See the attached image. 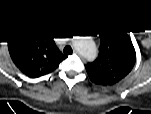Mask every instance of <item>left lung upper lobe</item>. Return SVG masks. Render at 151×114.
Instances as JSON below:
<instances>
[{"instance_id":"obj_1","label":"left lung upper lobe","mask_w":151,"mask_h":114,"mask_svg":"<svg viewBox=\"0 0 151 114\" xmlns=\"http://www.w3.org/2000/svg\"><path fill=\"white\" fill-rule=\"evenodd\" d=\"M98 58L88 63L86 70L90 79L103 85H112L124 78L133 68V48L123 39L103 33Z\"/></svg>"}]
</instances>
